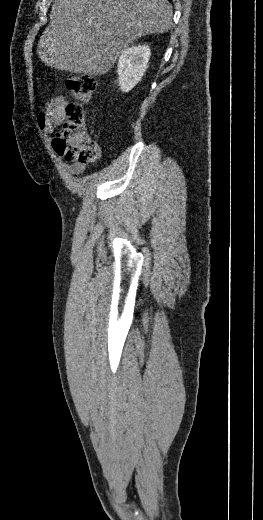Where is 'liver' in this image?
<instances>
[{"instance_id": "liver-1", "label": "liver", "mask_w": 263, "mask_h": 520, "mask_svg": "<svg viewBox=\"0 0 263 520\" xmlns=\"http://www.w3.org/2000/svg\"><path fill=\"white\" fill-rule=\"evenodd\" d=\"M168 0H55L37 53L61 71L97 76L140 37L172 25Z\"/></svg>"}]
</instances>
